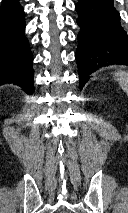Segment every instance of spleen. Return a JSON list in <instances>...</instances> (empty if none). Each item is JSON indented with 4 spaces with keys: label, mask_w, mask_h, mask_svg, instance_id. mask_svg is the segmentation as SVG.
<instances>
[{
    "label": "spleen",
    "mask_w": 128,
    "mask_h": 213,
    "mask_svg": "<svg viewBox=\"0 0 128 213\" xmlns=\"http://www.w3.org/2000/svg\"><path fill=\"white\" fill-rule=\"evenodd\" d=\"M116 81L119 83L120 87L128 96V72L117 71L114 73Z\"/></svg>",
    "instance_id": "3e777b00"
}]
</instances>
